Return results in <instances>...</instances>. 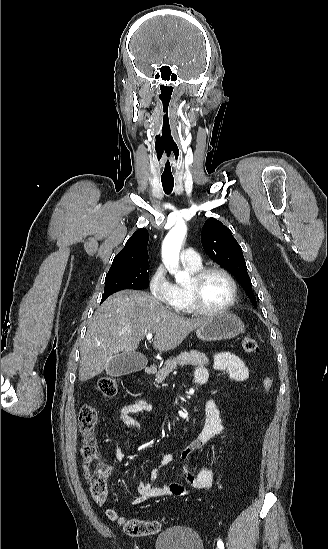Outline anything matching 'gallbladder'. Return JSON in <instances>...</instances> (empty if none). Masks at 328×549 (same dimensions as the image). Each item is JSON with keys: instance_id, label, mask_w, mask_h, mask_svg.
<instances>
[{"instance_id": "obj_1", "label": "gallbladder", "mask_w": 328, "mask_h": 549, "mask_svg": "<svg viewBox=\"0 0 328 549\" xmlns=\"http://www.w3.org/2000/svg\"><path fill=\"white\" fill-rule=\"evenodd\" d=\"M147 363L148 361L142 353H126V355L120 353L108 361L105 371L109 377H123L129 373L142 371L147 367Z\"/></svg>"}]
</instances>
